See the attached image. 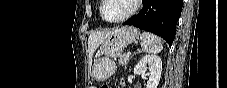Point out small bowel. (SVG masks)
<instances>
[{"mask_svg":"<svg viewBox=\"0 0 227 88\" xmlns=\"http://www.w3.org/2000/svg\"><path fill=\"white\" fill-rule=\"evenodd\" d=\"M119 87H125V84H124V82H123V81H121V82H120Z\"/></svg>","mask_w":227,"mask_h":88,"instance_id":"small-bowel-1","label":"small bowel"}]
</instances>
